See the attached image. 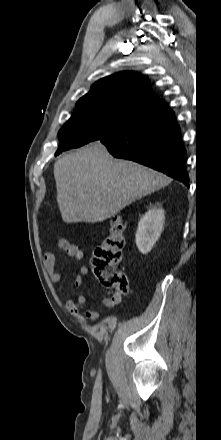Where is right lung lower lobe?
Here are the masks:
<instances>
[{
  "mask_svg": "<svg viewBox=\"0 0 221 440\" xmlns=\"http://www.w3.org/2000/svg\"><path fill=\"white\" fill-rule=\"evenodd\" d=\"M99 141L115 158L141 163L189 187L180 128L163 100L136 111Z\"/></svg>",
  "mask_w": 221,
  "mask_h": 440,
  "instance_id": "right-lung-lower-lobe-1",
  "label": "right lung lower lobe"
}]
</instances>
